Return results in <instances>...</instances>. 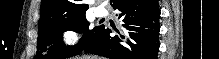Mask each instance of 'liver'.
<instances>
[{
  "mask_svg": "<svg viewBox=\"0 0 219 59\" xmlns=\"http://www.w3.org/2000/svg\"><path fill=\"white\" fill-rule=\"evenodd\" d=\"M75 59H102V58L97 56H82V57H77Z\"/></svg>",
  "mask_w": 219,
  "mask_h": 59,
  "instance_id": "liver-1",
  "label": "liver"
}]
</instances>
